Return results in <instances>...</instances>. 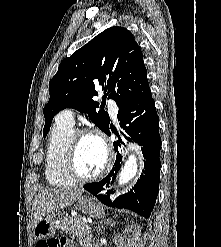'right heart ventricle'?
<instances>
[{"label":"right heart ventricle","instance_id":"1","mask_svg":"<svg viewBox=\"0 0 221 247\" xmlns=\"http://www.w3.org/2000/svg\"><path fill=\"white\" fill-rule=\"evenodd\" d=\"M73 133V126L56 120L49 136L45 153V175L54 187H70L76 182L66 168V155Z\"/></svg>","mask_w":221,"mask_h":247}]
</instances>
